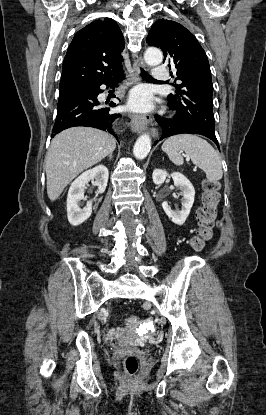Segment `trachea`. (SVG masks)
Listing matches in <instances>:
<instances>
[{
  "label": "trachea",
  "mask_w": 266,
  "mask_h": 415,
  "mask_svg": "<svg viewBox=\"0 0 266 415\" xmlns=\"http://www.w3.org/2000/svg\"><path fill=\"white\" fill-rule=\"evenodd\" d=\"M141 76L143 78L153 79L145 70L141 68Z\"/></svg>",
  "instance_id": "obj_1"
}]
</instances>
